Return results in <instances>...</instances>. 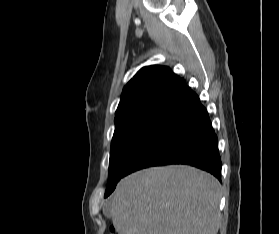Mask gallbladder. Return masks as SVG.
<instances>
[{"label": "gallbladder", "instance_id": "1", "mask_svg": "<svg viewBox=\"0 0 279 234\" xmlns=\"http://www.w3.org/2000/svg\"><path fill=\"white\" fill-rule=\"evenodd\" d=\"M104 213L106 214V216L107 217H110V213H109V210L106 208V207H104Z\"/></svg>", "mask_w": 279, "mask_h": 234}]
</instances>
